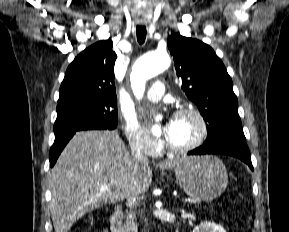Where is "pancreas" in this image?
I'll use <instances>...</instances> for the list:
<instances>
[{
	"label": "pancreas",
	"instance_id": "obj_1",
	"mask_svg": "<svg viewBox=\"0 0 289 232\" xmlns=\"http://www.w3.org/2000/svg\"><path fill=\"white\" fill-rule=\"evenodd\" d=\"M136 216L133 211H130L127 216L124 223V228L127 232H137V225L135 223Z\"/></svg>",
	"mask_w": 289,
	"mask_h": 232
}]
</instances>
